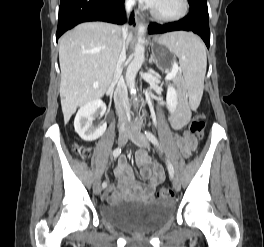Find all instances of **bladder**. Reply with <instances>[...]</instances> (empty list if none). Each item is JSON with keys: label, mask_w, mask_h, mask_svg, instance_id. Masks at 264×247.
I'll return each instance as SVG.
<instances>
[{"label": "bladder", "mask_w": 264, "mask_h": 247, "mask_svg": "<svg viewBox=\"0 0 264 247\" xmlns=\"http://www.w3.org/2000/svg\"><path fill=\"white\" fill-rule=\"evenodd\" d=\"M174 206L168 202L123 201L102 206L99 216L116 228L129 233H146L158 229L173 216Z\"/></svg>", "instance_id": "bladder-1"}]
</instances>
